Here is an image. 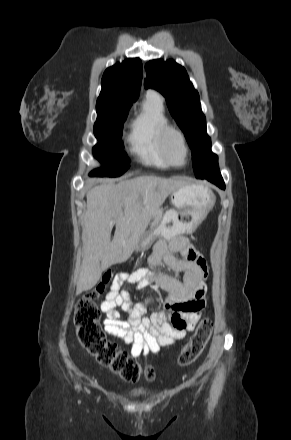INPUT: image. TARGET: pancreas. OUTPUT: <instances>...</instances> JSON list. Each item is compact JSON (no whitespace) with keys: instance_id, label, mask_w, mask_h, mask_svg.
Listing matches in <instances>:
<instances>
[{"instance_id":"pancreas-1","label":"pancreas","mask_w":291,"mask_h":440,"mask_svg":"<svg viewBox=\"0 0 291 440\" xmlns=\"http://www.w3.org/2000/svg\"><path fill=\"white\" fill-rule=\"evenodd\" d=\"M163 212H164L163 209H159L157 211V213L154 215L153 221L150 225L149 233H152L154 231V229L159 225V223L163 217Z\"/></svg>"}]
</instances>
